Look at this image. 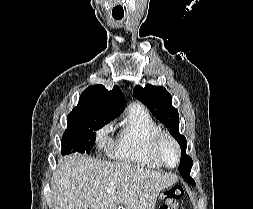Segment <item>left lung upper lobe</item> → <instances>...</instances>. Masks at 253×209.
<instances>
[{"label": "left lung upper lobe", "instance_id": "1", "mask_svg": "<svg viewBox=\"0 0 253 209\" xmlns=\"http://www.w3.org/2000/svg\"><path fill=\"white\" fill-rule=\"evenodd\" d=\"M135 97L145 104L151 113L163 123L169 132L179 143L181 150V162L179 172L185 181L192 180L190 171L193 161L186 154L187 141L185 136L179 133V114L178 110L172 106V96L162 86L147 84L144 88L135 86L133 91Z\"/></svg>", "mask_w": 253, "mask_h": 209}]
</instances>
